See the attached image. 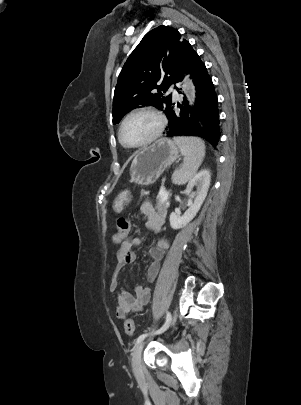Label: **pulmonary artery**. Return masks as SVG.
<instances>
[{
    "label": "pulmonary artery",
    "mask_w": 301,
    "mask_h": 405,
    "mask_svg": "<svg viewBox=\"0 0 301 405\" xmlns=\"http://www.w3.org/2000/svg\"><path fill=\"white\" fill-rule=\"evenodd\" d=\"M170 91L173 93L174 96H178L177 91L173 87L170 88Z\"/></svg>",
    "instance_id": "obj_1"
}]
</instances>
